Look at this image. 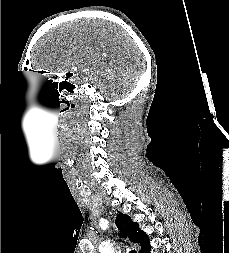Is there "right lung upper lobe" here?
I'll return each mask as SVG.
<instances>
[{
    "mask_svg": "<svg viewBox=\"0 0 229 253\" xmlns=\"http://www.w3.org/2000/svg\"><path fill=\"white\" fill-rule=\"evenodd\" d=\"M116 225L120 229V236L124 235L131 242L140 244L141 251L149 245L147 234L140 230L138 223H134L129 216L119 212L116 218Z\"/></svg>",
    "mask_w": 229,
    "mask_h": 253,
    "instance_id": "cb5924a9",
    "label": "right lung upper lobe"
}]
</instances>
